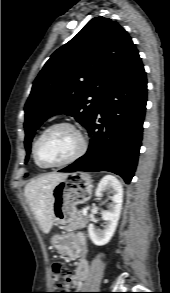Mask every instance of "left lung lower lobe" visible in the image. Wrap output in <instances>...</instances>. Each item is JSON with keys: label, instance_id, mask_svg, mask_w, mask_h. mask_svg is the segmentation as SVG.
Masks as SVG:
<instances>
[{"label": "left lung lower lobe", "instance_id": "0a47b994", "mask_svg": "<svg viewBox=\"0 0 170 293\" xmlns=\"http://www.w3.org/2000/svg\"><path fill=\"white\" fill-rule=\"evenodd\" d=\"M146 101V73L134 47L111 78L87 126L91 136L87 153L59 172L109 171L129 184L138 162Z\"/></svg>", "mask_w": 170, "mask_h": 293}]
</instances>
